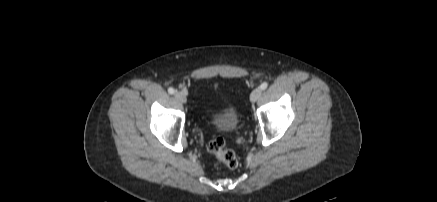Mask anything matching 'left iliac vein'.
Here are the masks:
<instances>
[{
    "instance_id": "obj_1",
    "label": "left iliac vein",
    "mask_w": 437,
    "mask_h": 202,
    "mask_svg": "<svg viewBox=\"0 0 437 202\" xmlns=\"http://www.w3.org/2000/svg\"><path fill=\"white\" fill-rule=\"evenodd\" d=\"M261 93H262L261 88L258 87L254 89L250 95L251 102H256L260 98Z\"/></svg>"
}]
</instances>
